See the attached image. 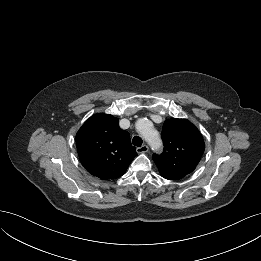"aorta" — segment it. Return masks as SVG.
Listing matches in <instances>:
<instances>
[{
	"mask_svg": "<svg viewBox=\"0 0 261 261\" xmlns=\"http://www.w3.org/2000/svg\"><path fill=\"white\" fill-rule=\"evenodd\" d=\"M136 128L143 135L153 150L158 151L161 149V138L158 133L150 126L148 121H138Z\"/></svg>",
	"mask_w": 261,
	"mask_h": 261,
	"instance_id": "aorta-1",
	"label": "aorta"
}]
</instances>
